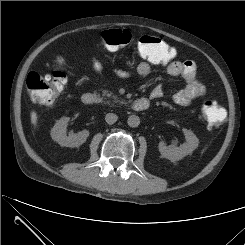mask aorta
Masks as SVG:
<instances>
[{"label":"aorta","mask_w":245,"mask_h":245,"mask_svg":"<svg viewBox=\"0 0 245 245\" xmlns=\"http://www.w3.org/2000/svg\"><path fill=\"white\" fill-rule=\"evenodd\" d=\"M127 124L132 128L138 127L140 124V118L136 115H131L127 120Z\"/></svg>","instance_id":"aorta-1"}]
</instances>
